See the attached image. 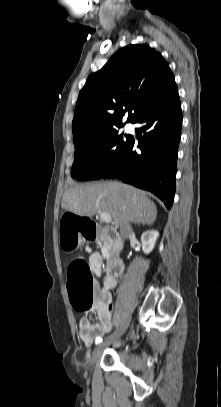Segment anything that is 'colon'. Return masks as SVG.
I'll return each instance as SVG.
<instances>
[{
    "mask_svg": "<svg viewBox=\"0 0 221 407\" xmlns=\"http://www.w3.org/2000/svg\"><path fill=\"white\" fill-rule=\"evenodd\" d=\"M68 210L60 217V233L65 250L73 249L77 239H106L104 222H97L94 216H76ZM68 294L75 310L85 312L94 302V280L89 265L82 259L74 260L68 268Z\"/></svg>",
    "mask_w": 221,
    "mask_h": 407,
    "instance_id": "1",
    "label": "colon"
}]
</instances>
